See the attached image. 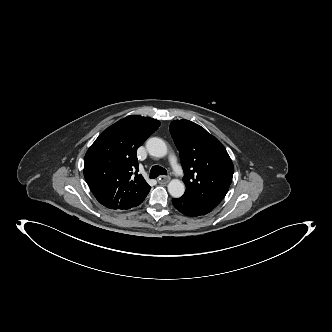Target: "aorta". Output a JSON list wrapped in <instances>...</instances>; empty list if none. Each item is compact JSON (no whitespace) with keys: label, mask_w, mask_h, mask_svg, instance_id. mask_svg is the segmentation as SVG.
<instances>
[{"label":"aorta","mask_w":332,"mask_h":332,"mask_svg":"<svg viewBox=\"0 0 332 332\" xmlns=\"http://www.w3.org/2000/svg\"><path fill=\"white\" fill-rule=\"evenodd\" d=\"M146 149L151 156L164 157L168 153V148L161 138L152 137L146 142ZM168 192L174 198H180L185 192V185L178 179H173L168 184Z\"/></svg>","instance_id":"aorta-1"}]
</instances>
